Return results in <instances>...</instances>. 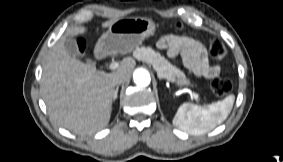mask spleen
Masks as SVG:
<instances>
[{
    "mask_svg": "<svg viewBox=\"0 0 283 162\" xmlns=\"http://www.w3.org/2000/svg\"><path fill=\"white\" fill-rule=\"evenodd\" d=\"M234 101L235 96L231 94L206 107L183 103L173 118V124L192 135L205 134L227 119Z\"/></svg>",
    "mask_w": 283,
    "mask_h": 162,
    "instance_id": "spleen-1",
    "label": "spleen"
}]
</instances>
